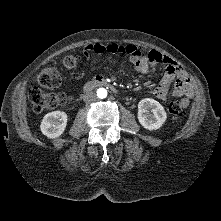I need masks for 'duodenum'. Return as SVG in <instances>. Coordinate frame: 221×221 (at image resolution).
<instances>
[{
    "mask_svg": "<svg viewBox=\"0 0 221 221\" xmlns=\"http://www.w3.org/2000/svg\"><path fill=\"white\" fill-rule=\"evenodd\" d=\"M96 87H109L113 91H116V88L112 85V83L102 76H96L88 81L84 86V90L90 91L91 89Z\"/></svg>",
    "mask_w": 221,
    "mask_h": 221,
    "instance_id": "1",
    "label": "duodenum"
}]
</instances>
